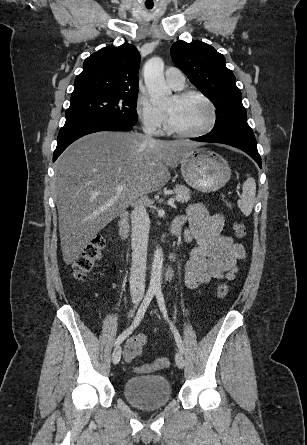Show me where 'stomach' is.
I'll list each match as a JSON object with an SVG mask.
<instances>
[{
  "mask_svg": "<svg viewBox=\"0 0 307 445\" xmlns=\"http://www.w3.org/2000/svg\"><path fill=\"white\" fill-rule=\"evenodd\" d=\"M181 172L187 184L201 192L219 190L231 176V168L223 156L198 146L183 156Z\"/></svg>",
  "mask_w": 307,
  "mask_h": 445,
  "instance_id": "0dacf381",
  "label": "stomach"
}]
</instances>
